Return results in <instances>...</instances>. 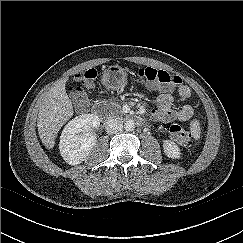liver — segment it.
Instances as JSON below:
<instances>
[{"label": "liver", "instance_id": "1", "mask_svg": "<svg viewBox=\"0 0 243 243\" xmlns=\"http://www.w3.org/2000/svg\"><path fill=\"white\" fill-rule=\"evenodd\" d=\"M65 82L61 80L49 90L39 109L38 134L47 149L54 147L58 131L73 115V105L66 93Z\"/></svg>", "mask_w": 243, "mask_h": 243}]
</instances>
